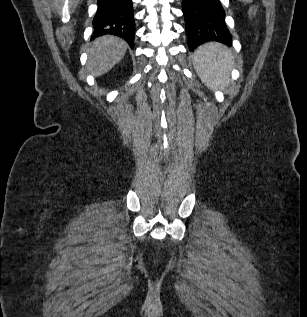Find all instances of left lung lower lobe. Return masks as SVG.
<instances>
[{"instance_id":"obj_1","label":"left lung lower lobe","mask_w":307,"mask_h":317,"mask_svg":"<svg viewBox=\"0 0 307 317\" xmlns=\"http://www.w3.org/2000/svg\"><path fill=\"white\" fill-rule=\"evenodd\" d=\"M183 14L190 51L209 41L231 46L225 11L219 0H183Z\"/></svg>"}]
</instances>
